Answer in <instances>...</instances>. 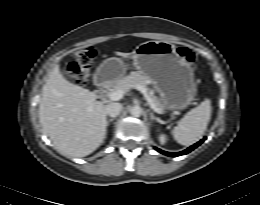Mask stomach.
Returning <instances> with one entry per match:
<instances>
[{
    "instance_id": "1",
    "label": "stomach",
    "mask_w": 260,
    "mask_h": 205,
    "mask_svg": "<svg viewBox=\"0 0 260 205\" xmlns=\"http://www.w3.org/2000/svg\"><path fill=\"white\" fill-rule=\"evenodd\" d=\"M136 69L146 75L160 95L163 109L183 110L197 94V84L191 64L166 41L140 44L132 56ZM126 72L124 62L117 57L103 61L97 68L95 81L99 85L115 83Z\"/></svg>"
}]
</instances>
